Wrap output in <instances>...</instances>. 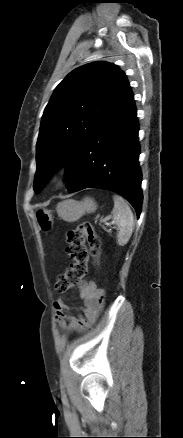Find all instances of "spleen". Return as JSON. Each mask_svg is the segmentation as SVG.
Listing matches in <instances>:
<instances>
[{
    "label": "spleen",
    "instance_id": "obj_1",
    "mask_svg": "<svg viewBox=\"0 0 183 438\" xmlns=\"http://www.w3.org/2000/svg\"><path fill=\"white\" fill-rule=\"evenodd\" d=\"M113 200V220L118 229L117 244L124 246L128 243L132 235L134 229V216L129 205L122 197L114 195Z\"/></svg>",
    "mask_w": 183,
    "mask_h": 438
}]
</instances>
